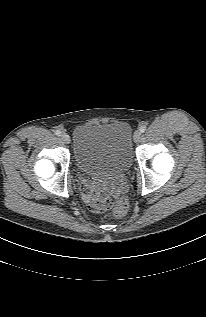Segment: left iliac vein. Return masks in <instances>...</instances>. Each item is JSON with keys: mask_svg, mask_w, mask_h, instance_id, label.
<instances>
[{"mask_svg": "<svg viewBox=\"0 0 206 317\" xmlns=\"http://www.w3.org/2000/svg\"><path fill=\"white\" fill-rule=\"evenodd\" d=\"M141 138V132L140 131H136L134 133V136H133V139H134V142H138Z\"/></svg>", "mask_w": 206, "mask_h": 317, "instance_id": "1", "label": "left iliac vein"}]
</instances>
